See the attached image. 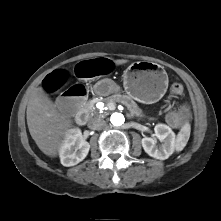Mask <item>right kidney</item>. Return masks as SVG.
<instances>
[{
	"label": "right kidney",
	"instance_id": "ca27d5eb",
	"mask_svg": "<svg viewBox=\"0 0 221 221\" xmlns=\"http://www.w3.org/2000/svg\"><path fill=\"white\" fill-rule=\"evenodd\" d=\"M90 149V144L84 139L80 129H70L60 148L61 164L66 167L77 165L85 159Z\"/></svg>",
	"mask_w": 221,
	"mask_h": 221
}]
</instances>
